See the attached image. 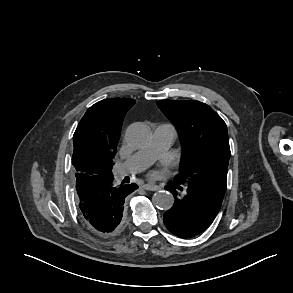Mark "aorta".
<instances>
[{
  "label": "aorta",
  "instance_id": "762f6f07",
  "mask_svg": "<svg viewBox=\"0 0 293 293\" xmlns=\"http://www.w3.org/2000/svg\"><path fill=\"white\" fill-rule=\"evenodd\" d=\"M127 142L135 148H140L150 140V130L142 123H135L127 130ZM154 205L161 210H169L174 203L173 195L168 191H158L153 195Z\"/></svg>",
  "mask_w": 293,
  "mask_h": 293
}]
</instances>
